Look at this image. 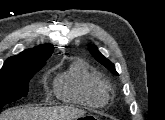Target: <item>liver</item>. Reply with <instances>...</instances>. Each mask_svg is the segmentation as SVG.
Returning a JSON list of instances; mask_svg holds the SVG:
<instances>
[{
    "instance_id": "6515ba94",
    "label": "liver",
    "mask_w": 165,
    "mask_h": 120,
    "mask_svg": "<svg viewBox=\"0 0 165 120\" xmlns=\"http://www.w3.org/2000/svg\"><path fill=\"white\" fill-rule=\"evenodd\" d=\"M83 113L84 111L72 107H22L8 110L0 120H69Z\"/></svg>"
}]
</instances>
